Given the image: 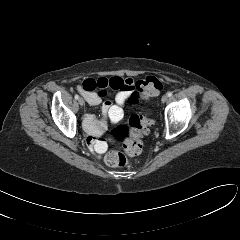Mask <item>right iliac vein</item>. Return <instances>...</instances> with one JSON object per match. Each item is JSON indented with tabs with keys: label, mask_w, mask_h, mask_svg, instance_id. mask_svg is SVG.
Instances as JSON below:
<instances>
[{
	"label": "right iliac vein",
	"mask_w": 240,
	"mask_h": 240,
	"mask_svg": "<svg viewBox=\"0 0 240 240\" xmlns=\"http://www.w3.org/2000/svg\"><path fill=\"white\" fill-rule=\"evenodd\" d=\"M78 102H79V105H81V106H83L84 103H85L84 100H83V98H79Z\"/></svg>",
	"instance_id": "obj_1"
}]
</instances>
